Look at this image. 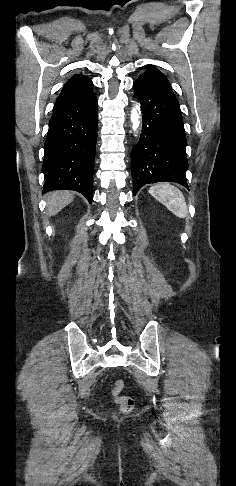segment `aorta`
<instances>
[{
    "instance_id": "obj_1",
    "label": "aorta",
    "mask_w": 236,
    "mask_h": 486,
    "mask_svg": "<svg viewBox=\"0 0 236 486\" xmlns=\"http://www.w3.org/2000/svg\"><path fill=\"white\" fill-rule=\"evenodd\" d=\"M130 119L132 123V129L136 131L140 125V107L138 105L132 108Z\"/></svg>"
}]
</instances>
